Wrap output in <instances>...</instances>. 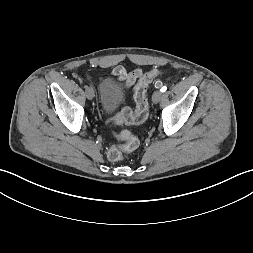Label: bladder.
Masks as SVG:
<instances>
[{
    "instance_id": "bladder-1",
    "label": "bladder",
    "mask_w": 253,
    "mask_h": 253,
    "mask_svg": "<svg viewBox=\"0 0 253 253\" xmlns=\"http://www.w3.org/2000/svg\"><path fill=\"white\" fill-rule=\"evenodd\" d=\"M126 98L125 89L109 82L100 85V100L102 108L106 113H111L119 107Z\"/></svg>"
}]
</instances>
